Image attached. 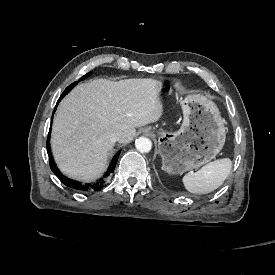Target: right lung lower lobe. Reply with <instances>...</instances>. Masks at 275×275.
Listing matches in <instances>:
<instances>
[{"label": "right lung lower lobe", "instance_id": "98d812e1", "mask_svg": "<svg viewBox=\"0 0 275 275\" xmlns=\"http://www.w3.org/2000/svg\"><path fill=\"white\" fill-rule=\"evenodd\" d=\"M64 96L62 95L60 97V99L58 100L57 104H56V107L59 103V101L63 98ZM55 111V109H54ZM50 131H51V128H50ZM50 131H49V134H48V139H47V152H48V155H49V160H50V168L51 170L53 171V173L60 179V181L70 187V188H73V189H76V190H80V191H88V190H99L101 188H103L104 186V183H105V180L104 178L109 176L110 173H112L115 169V166H116V163H117V160H118V156L119 154H116L112 160V163L108 169V171L106 172V174L104 175V178H101L99 179L96 183L94 184H81L80 182L78 181H75L73 179H70L66 176H64L60 170H58V168L56 167L54 161H53V158H52V155H51V151H50Z\"/></svg>", "mask_w": 275, "mask_h": 275}]
</instances>
